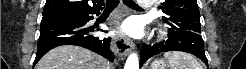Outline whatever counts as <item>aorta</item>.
Wrapping results in <instances>:
<instances>
[{"instance_id": "762f6f07", "label": "aorta", "mask_w": 246, "mask_h": 69, "mask_svg": "<svg viewBox=\"0 0 246 69\" xmlns=\"http://www.w3.org/2000/svg\"><path fill=\"white\" fill-rule=\"evenodd\" d=\"M124 69H139V60L136 53H132L126 60Z\"/></svg>"}]
</instances>
